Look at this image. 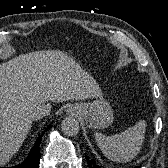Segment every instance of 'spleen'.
Wrapping results in <instances>:
<instances>
[{
  "label": "spleen",
  "mask_w": 168,
  "mask_h": 168,
  "mask_svg": "<svg viewBox=\"0 0 168 168\" xmlns=\"http://www.w3.org/2000/svg\"><path fill=\"white\" fill-rule=\"evenodd\" d=\"M146 122L140 120L133 127L120 134L105 136L95 134V139L102 153L115 162H128L139 152L144 141Z\"/></svg>",
  "instance_id": "3e777b00"
}]
</instances>
